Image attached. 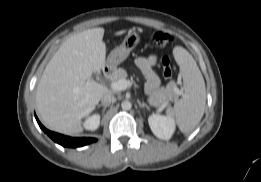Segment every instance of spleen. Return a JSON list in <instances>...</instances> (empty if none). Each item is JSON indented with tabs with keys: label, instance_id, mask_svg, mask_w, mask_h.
<instances>
[{
	"label": "spleen",
	"instance_id": "spleen-1",
	"mask_svg": "<svg viewBox=\"0 0 261 182\" xmlns=\"http://www.w3.org/2000/svg\"><path fill=\"white\" fill-rule=\"evenodd\" d=\"M174 58L183 77V97L167 109V115L175 117L183 133L192 132L203 117L206 106L204 78L192 55L183 47H175Z\"/></svg>",
	"mask_w": 261,
	"mask_h": 182
}]
</instances>
